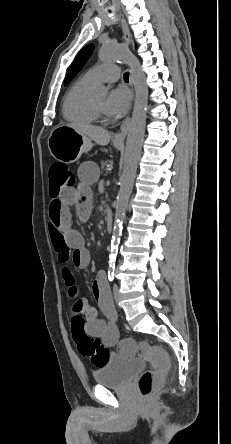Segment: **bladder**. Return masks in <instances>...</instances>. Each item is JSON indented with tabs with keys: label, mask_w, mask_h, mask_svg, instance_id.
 <instances>
[{
	"label": "bladder",
	"mask_w": 231,
	"mask_h": 444,
	"mask_svg": "<svg viewBox=\"0 0 231 444\" xmlns=\"http://www.w3.org/2000/svg\"><path fill=\"white\" fill-rule=\"evenodd\" d=\"M144 368L140 359H125L117 353H111L104 365L94 371V380L98 385L108 388H122Z\"/></svg>",
	"instance_id": "31cf9c89"
}]
</instances>
